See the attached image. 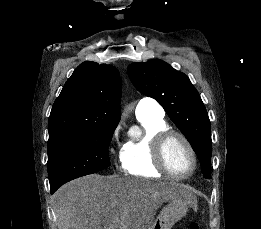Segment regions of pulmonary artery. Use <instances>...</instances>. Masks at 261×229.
Masks as SVG:
<instances>
[{
    "label": "pulmonary artery",
    "instance_id": "e3ab8cb5",
    "mask_svg": "<svg viewBox=\"0 0 261 229\" xmlns=\"http://www.w3.org/2000/svg\"><path fill=\"white\" fill-rule=\"evenodd\" d=\"M155 116V117H163L164 109L163 107L154 99L149 97L141 98L136 106V116L137 118L145 117V116Z\"/></svg>",
    "mask_w": 261,
    "mask_h": 229
}]
</instances>
